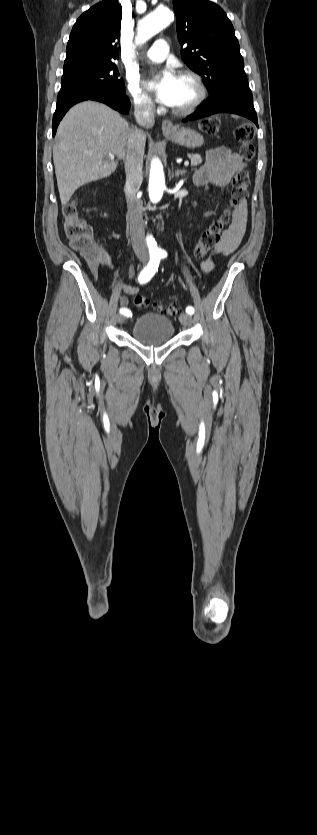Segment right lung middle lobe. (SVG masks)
<instances>
[{"label":"right lung middle lobe","mask_w":317,"mask_h":835,"mask_svg":"<svg viewBox=\"0 0 317 835\" xmlns=\"http://www.w3.org/2000/svg\"><path fill=\"white\" fill-rule=\"evenodd\" d=\"M99 89L125 92L124 81L119 78L115 63L74 61L64 64L61 89L57 100Z\"/></svg>","instance_id":"dd1d6c3e"}]
</instances>
